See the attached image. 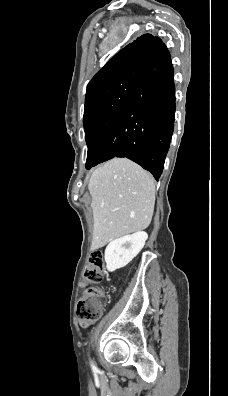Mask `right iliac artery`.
Wrapping results in <instances>:
<instances>
[{
	"label": "right iliac artery",
	"instance_id": "right-iliac-artery-1",
	"mask_svg": "<svg viewBox=\"0 0 228 396\" xmlns=\"http://www.w3.org/2000/svg\"><path fill=\"white\" fill-rule=\"evenodd\" d=\"M91 366H92V369H93V370H96V367L94 366L93 363H91Z\"/></svg>",
	"mask_w": 228,
	"mask_h": 396
}]
</instances>
